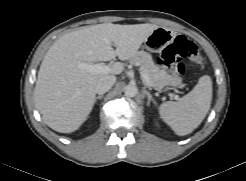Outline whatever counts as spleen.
<instances>
[{"mask_svg":"<svg viewBox=\"0 0 246 181\" xmlns=\"http://www.w3.org/2000/svg\"><path fill=\"white\" fill-rule=\"evenodd\" d=\"M212 101V81L200 77L191 92L179 101H167L159 106L162 120L179 136L190 134L204 120Z\"/></svg>","mask_w":246,"mask_h":181,"instance_id":"1","label":"spleen"}]
</instances>
